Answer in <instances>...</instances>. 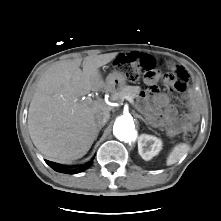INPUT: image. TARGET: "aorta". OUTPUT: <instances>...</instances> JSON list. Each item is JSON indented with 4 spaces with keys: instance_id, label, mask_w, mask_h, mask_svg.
<instances>
[{
    "instance_id": "aorta-1",
    "label": "aorta",
    "mask_w": 221,
    "mask_h": 221,
    "mask_svg": "<svg viewBox=\"0 0 221 221\" xmlns=\"http://www.w3.org/2000/svg\"><path fill=\"white\" fill-rule=\"evenodd\" d=\"M113 133L121 141L133 140L136 136V129L132 116H119L114 123Z\"/></svg>"
}]
</instances>
